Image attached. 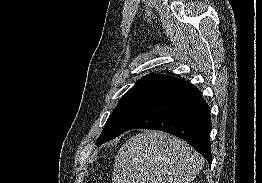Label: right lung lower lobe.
Instances as JSON below:
<instances>
[{"mask_svg":"<svg viewBox=\"0 0 262 183\" xmlns=\"http://www.w3.org/2000/svg\"><path fill=\"white\" fill-rule=\"evenodd\" d=\"M209 106L195 86L176 79L160 89L146 107L124 128L156 129L185 140L211 165Z\"/></svg>","mask_w":262,"mask_h":183,"instance_id":"1","label":"right lung lower lobe"}]
</instances>
